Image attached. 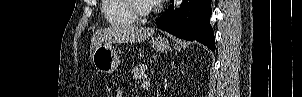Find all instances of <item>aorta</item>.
<instances>
[{"label":"aorta","mask_w":302,"mask_h":97,"mask_svg":"<svg viewBox=\"0 0 302 97\" xmlns=\"http://www.w3.org/2000/svg\"><path fill=\"white\" fill-rule=\"evenodd\" d=\"M181 3H182V0H176L175 1V6L179 7Z\"/></svg>","instance_id":"obj_1"}]
</instances>
